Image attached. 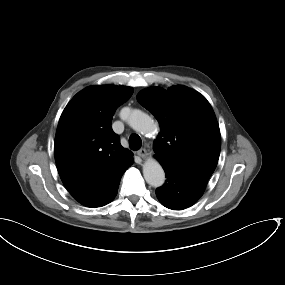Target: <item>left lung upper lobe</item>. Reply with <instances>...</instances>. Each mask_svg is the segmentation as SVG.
I'll use <instances>...</instances> for the list:
<instances>
[{
    "mask_svg": "<svg viewBox=\"0 0 285 285\" xmlns=\"http://www.w3.org/2000/svg\"><path fill=\"white\" fill-rule=\"evenodd\" d=\"M137 100L160 124L153 144L160 163L208 180L218 162L221 135L207 99L188 87L172 86L145 89Z\"/></svg>",
    "mask_w": 285,
    "mask_h": 285,
    "instance_id": "obj_1",
    "label": "left lung upper lobe"
}]
</instances>
